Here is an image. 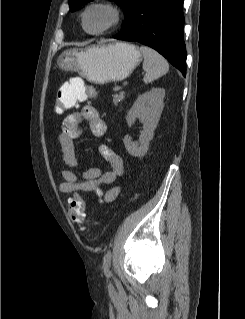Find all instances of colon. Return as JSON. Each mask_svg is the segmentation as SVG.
<instances>
[{"label":"colon","instance_id":"colon-1","mask_svg":"<svg viewBox=\"0 0 245 319\" xmlns=\"http://www.w3.org/2000/svg\"><path fill=\"white\" fill-rule=\"evenodd\" d=\"M93 91L83 81L78 91L70 96L69 92L59 89L57 95V109L59 113L78 106L87 96L91 95ZM68 211L71 219L76 224H82L85 220V204L80 197H72L68 202Z\"/></svg>","mask_w":245,"mask_h":319}]
</instances>
